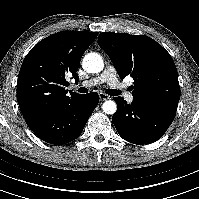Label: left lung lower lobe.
Segmentation results:
<instances>
[{"label":"left lung lower lobe","instance_id":"obj_1","mask_svg":"<svg viewBox=\"0 0 199 199\" xmlns=\"http://www.w3.org/2000/svg\"><path fill=\"white\" fill-rule=\"evenodd\" d=\"M117 111L112 116L119 135L128 142L143 145L160 139L173 122L176 112L135 99L127 104L123 97H114Z\"/></svg>","mask_w":199,"mask_h":199}]
</instances>
